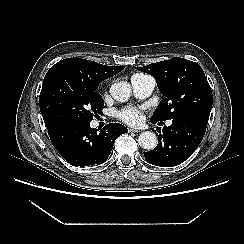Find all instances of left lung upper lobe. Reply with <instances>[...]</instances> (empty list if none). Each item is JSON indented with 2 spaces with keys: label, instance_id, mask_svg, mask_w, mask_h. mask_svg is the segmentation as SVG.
<instances>
[{
  "label": "left lung upper lobe",
  "instance_id": "5c2ea615",
  "mask_svg": "<svg viewBox=\"0 0 244 244\" xmlns=\"http://www.w3.org/2000/svg\"><path fill=\"white\" fill-rule=\"evenodd\" d=\"M136 69L152 75L164 95L151 121L191 116L208 122L213 96L199 64L174 57Z\"/></svg>",
  "mask_w": 244,
  "mask_h": 244
}]
</instances>
